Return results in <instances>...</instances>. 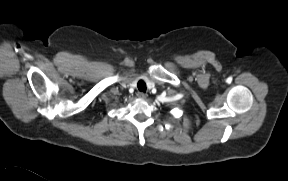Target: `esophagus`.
<instances>
[{"instance_id":"1","label":"esophagus","mask_w":288,"mask_h":181,"mask_svg":"<svg viewBox=\"0 0 288 181\" xmlns=\"http://www.w3.org/2000/svg\"><path fill=\"white\" fill-rule=\"evenodd\" d=\"M137 97L140 99H145L147 97V94H145L144 92H138Z\"/></svg>"}]
</instances>
